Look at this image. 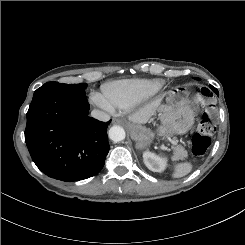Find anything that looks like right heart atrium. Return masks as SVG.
I'll return each mask as SVG.
<instances>
[{
	"label": "right heart atrium",
	"instance_id": "1",
	"mask_svg": "<svg viewBox=\"0 0 245 245\" xmlns=\"http://www.w3.org/2000/svg\"><path fill=\"white\" fill-rule=\"evenodd\" d=\"M93 103L98 106L99 108L108 111V112H112L113 111V107L110 105V103L105 99V97H103L100 94H94L92 97Z\"/></svg>",
	"mask_w": 245,
	"mask_h": 245
}]
</instances>
